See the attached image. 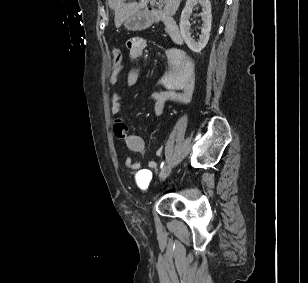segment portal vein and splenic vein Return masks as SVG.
Listing matches in <instances>:
<instances>
[{
    "instance_id": "obj_1",
    "label": "portal vein and splenic vein",
    "mask_w": 308,
    "mask_h": 283,
    "mask_svg": "<svg viewBox=\"0 0 308 283\" xmlns=\"http://www.w3.org/2000/svg\"><path fill=\"white\" fill-rule=\"evenodd\" d=\"M152 1H153V2H155L156 0H152ZM159 2H160V3H162V2H163V0H159Z\"/></svg>"
}]
</instances>
